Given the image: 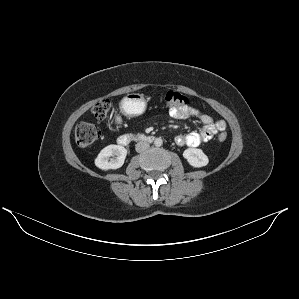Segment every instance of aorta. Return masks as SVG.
Returning <instances> with one entry per match:
<instances>
[{"mask_svg": "<svg viewBox=\"0 0 299 299\" xmlns=\"http://www.w3.org/2000/svg\"><path fill=\"white\" fill-rule=\"evenodd\" d=\"M162 144H163V140H162L161 138H156V139H155V141H154V145H155L156 147H160V146H162Z\"/></svg>", "mask_w": 299, "mask_h": 299, "instance_id": "762f6f07", "label": "aorta"}]
</instances>
